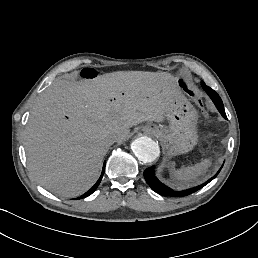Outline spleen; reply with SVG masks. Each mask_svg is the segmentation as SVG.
<instances>
[{"label": "spleen", "instance_id": "obj_1", "mask_svg": "<svg viewBox=\"0 0 258 258\" xmlns=\"http://www.w3.org/2000/svg\"><path fill=\"white\" fill-rule=\"evenodd\" d=\"M211 164V158L203 159L201 162L194 164L193 166H188L185 168H182L180 170H176L172 173V176L174 177V180L182 182L184 184H189L190 182H193L198 177L204 175L209 166ZM174 186L177 188V190H183V187H179L174 184Z\"/></svg>", "mask_w": 258, "mask_h": 258}]
</instances>
